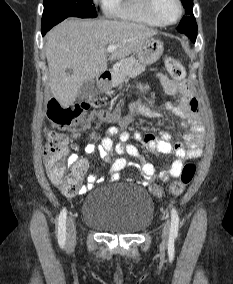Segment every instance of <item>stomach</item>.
<instances>
[{
	"label": "stomach",
	"mask_w": 233,
	"mask_h": 284,
	"mask_svg": "<svg viewBox=\"0 0 233 284\" xmlns=\"http://www.w3.org/2000/svg\"><path fill=\"white\" fill-rule=\"evenodd\" d=\"M163 43L154 38L148 39L143 46L135 52V55L137 57V60L142 65H151L155 63L163 54ZM113 85V82L106 83L102 90L106 91L110 89V87Z\"/></svg>",
	"instance_id": "stomach-1"
}]
</instances>
